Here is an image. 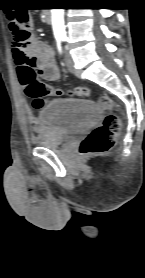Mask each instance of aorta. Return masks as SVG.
<instances>
[{
    "label": "aorta",
    "instance_id": "1",
    "mask_svg": "<svg viewBox=\"0 0 145 278\" xmlns=\"http://www.w3.org/2000/svg\"><path fill=\"white\" fill-rule=\"evenodd\" d=\"M52 26L56 37H64L66 35L64 9H52Z\"/></svg>",
    "mask_w": 145,
    "mask_h": 278
}]
</instances>
